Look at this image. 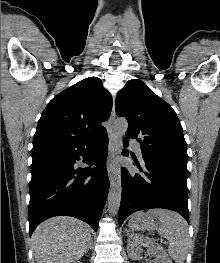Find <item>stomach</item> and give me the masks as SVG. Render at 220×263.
<instances>
[{
  "label": "stomach",
  "instance_id": "0dacf381",
  "mask_svg": "<svg viewBox=\"0 0 220 263\" xmlns=\"http://www.w3.org/2000/svg\"><path fill=\"white\" fill-rule=\"evenodd\" d=\"M158 222L155 217L148 213L138 212L135 213L129 222V228L131 230L144 231L154 230L158 227Z\"/></svg>",
  "mask_w": 220,
  "mask_h": 263
}]
</instances>
